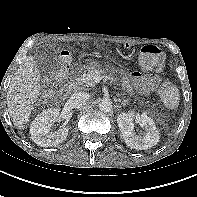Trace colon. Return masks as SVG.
I'll list each match as a JSON object with an SVG mask.
<instances>
[{
  "label": "colon",
  "instance_id": "1",
  "mask_svg": "<svg viewBox=\"0 0 197 197\" xmlns=\"http://www.w3.org/2000/svg\"><path fill=\"white\" fill-rule=\"evenodd\" d=\"M70 54L66 51L59 53L60 69L58 77L66 75L70 63ZM140 64L144 69L155 68L161 71L164 67V54L156 45H145L140 51ZM47 85L52 83V77L47 78ZM159 94L164 103L169 107H175L179 101L177 88L169 81H165L160 87Z\"/></svg>",
  "mask_w": 197,
  "mask_h": 197
}]
</instances>
